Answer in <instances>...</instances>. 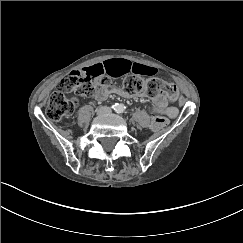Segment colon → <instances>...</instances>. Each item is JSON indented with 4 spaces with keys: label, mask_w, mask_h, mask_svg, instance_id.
<instances>
[{
    "label": "colon",
    "mask_w": 243,
    "mask_h": 243,
    "mask_svg": "<svg viewBox=\"0 0 243 243\" xmlns=\"http://www.w3.org/2000/svg\"><path fill=\"white\" fill-rule=\"evenodd\" d=\"M59 86L64 91H74L83 96H92L100 90L112 88L111 81L104 74H89L79 71H73L64 77ZM120 90L127 96L144 94L151 98L165 96L169 99H175L178 96V89L172 83H167L159 78H141L138 76L127 77ZM77 107V101L74 98L67 97L61 91H55L50 96L46 115L50 120L56 121L64 117L71 116ZM169 120L163 116H154L151 127L154 130L164 128Z\"/></svg>",
    "instance_id": "5ec220e1"
}]
</instances>
